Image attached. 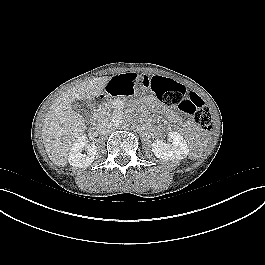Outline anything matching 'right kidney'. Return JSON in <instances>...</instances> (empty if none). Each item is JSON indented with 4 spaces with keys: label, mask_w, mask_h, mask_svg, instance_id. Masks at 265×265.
Returning a JSON list of instances; mask_svg holds the SVG:
<instances>
[{
    "label": "right kidney",
    "mask_w": 265,
    "mask_h": 265,
    "mask_svg": "<svg viewBox=\"0 0 265 265\" xmlns=\"http://www.w3.org/2000/svg\"><path fill=\"white\" fill-rule=\"evenodd\" d=\"M86 149L87 153L83 154L82 150ZM97 153V146L95 144H87V137L80 136L72 145L68 156V162L73 167L86 168L94 161Z\"/></svg>",
    "instance_id": "1"
}]
</instances>
